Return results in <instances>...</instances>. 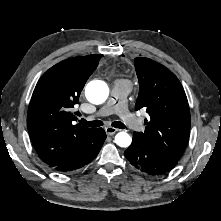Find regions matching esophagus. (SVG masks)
Listing matches in <instances>:
<instances>
[{
  "instance_id": "34e87169",
  "label": "esophagus",
  "mask_w": 221,
  "mask_h": 221,
  "mask_svg": "<svg viewBox=\"0 0 221 221\" xmlns=\"http://www.w3.org/2000/svg\"><path fill=\"white\" fill-rule=\"evenodd\" d=\"M117 131H118V129H116L114 127H106L105 128V132L108 135H114Z\"/></svg>"
}]
</instances>
